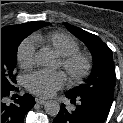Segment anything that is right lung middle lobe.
<instances>
[{
	"label": "right lung middle lobe",
	"instance_id": "1",
	"mask_svg": "<svg viewBox=\"0 0 123 123\" xmlns=\"http://www.w3.org/2000/svg\"><path fill=\"white\" fill-rule=\"evenodd\" d=\"M49 24L43 21L23 23L1 34V87L13 88L16 83L14 69L21 41L33 31Z\"/></svg>",
	"mask_w": 123,
	"mask_h": 123
}]
</instances>
